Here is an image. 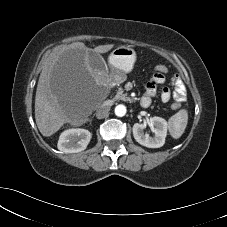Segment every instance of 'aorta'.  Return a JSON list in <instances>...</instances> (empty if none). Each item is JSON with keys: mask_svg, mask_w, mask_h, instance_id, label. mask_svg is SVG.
<instances>
[{"mask_svg": "<svg viewBox=\"0 0 227 227\" xmlns=\"http://www.w3.org/2000/svg\"><path fill=\"white\" fill-rule=\"evenodd\" d=\"M126 114V107L122 104L115 107V115L118 117H123Z\"/></svg>", "mask_w": 227, "mask_h": 227, "instance_id": "762f6f07", "label": "aorta"}]
</instances>
